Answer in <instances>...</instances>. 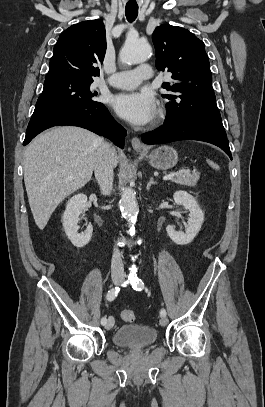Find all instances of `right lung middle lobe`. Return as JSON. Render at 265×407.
<instances>
[{
	"instance_id": "right-lung-middle-lobe-1",
	"label": "right lung middle lobe",
	"mask_w": 265,
	"mask_h": 407,
	"mask_svg": "<svg viewBox=\"0 0 265 407\" xmlns=\"http://www.w3.org/2000/svg\"><path fill=\"white\" fill-rule=\"evenodd\" d=\"M92 82L70 78L45 79L30 122L67 110L102 104L96 100L97 92L90 88Z\"/></svg>"
}]
</instances>
